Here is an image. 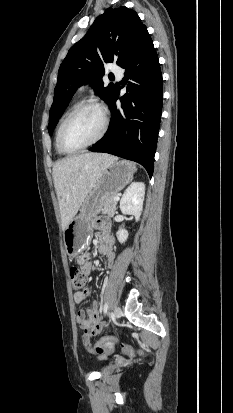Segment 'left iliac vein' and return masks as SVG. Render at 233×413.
<instances>
[{
  "label": "left iliac vein",
  "instance_id": "4c4485c4",
  "mask_svg": "<svg viewBox=\"0 0 233 413\" xmlns=\"http://www.w3.org/2000/svg\"><path fill=\"white\" fill-rule=\"evenodd\" d=\"M121 315H122L121 308L119 306H116L114 309V317L118 319L121 317Z\"/></svg>",
  "mask_w": 233,
  "mask_h": 413
}]
</instances>
